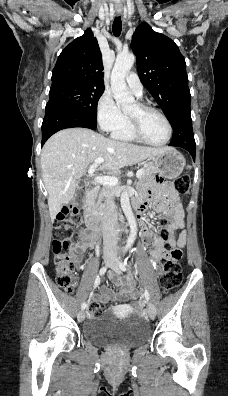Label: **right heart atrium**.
Returning <instances> with one entry per match:
<instances>
[{
  "instance_id": "obj_1",
  "label": "right heart atrium",
  "mask_w": 228,
  "mask_h": 396,
  "mask_svg": "<svg viewBox=\"0 0 228 396\" xmlns=\"http://www.w3.org/2000/svg\"><path fill=\"white\" fill-rule=\"evenodd\" d=\"M96 117L100 128L114 132L128 123V117L121 112L109 92H104L98 100Z\"/></svg>"
}]
</instances>
